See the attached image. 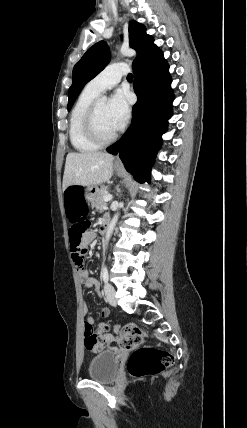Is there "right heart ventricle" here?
Masks as SVG:
<instances>
[{
    "instance_id": "obj_1",
    "label": "right heart ventricle",
    "mask_w": 247,
    "mask_h": 428,
    "mask_svg": "<svg viewBox=\"0 0 247 428\" xmlns=\"http://www.w3.org/2000/svg\"><path fill=\"white\" fill-rule=\"evenodd\" d=\"M99 93L89 89L87 86L79 95L73 106L69 121V138L72 146L79 152L89 153L99 149L100 145L93 142L85 133L84 118Z\"/></svg>"
}]
</instances>
